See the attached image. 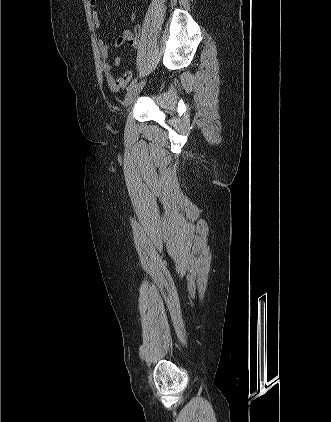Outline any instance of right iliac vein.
Returning <instances> with one entry per match:
<instances>
[{
  "instance_id": "obj_1",
  "label": "right iliac vein",
  "mask_w": 331,
  "mask_h": 422,
  "mask_svg": "<svg viewBox=\"0 0 331 422\" xmlns=\"http://www.w3.org/2000/svg\"><path fill=\"white\" fill-rule=\"evenodd\" d=\"M144 85H145V81H142L127 92L124 102H123L124 108H127L134 101V99L140 93Z\"/></svg>"
}]
</instances>
